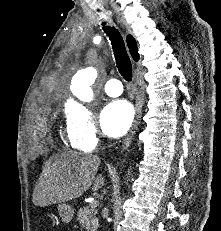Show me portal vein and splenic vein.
I'll return each mask as SVG.
<instances>
[{
  "label": "portal vein and splenic vein",
  "instance_id": "obj_1",
  "mask_svg": "<svg viewBox=\"0 0 221 231\" xmlns=\"http://www.w3.org/2000/svg\"><path fill=\"white\" fill-rule=\"evenodd\" d=\"M89 205H90V207L96 208L97 205H98V202L97 201H92Z\"/></svg>",
  "mask_w": 221,
  "mask_h": 231
}]
</instances>
